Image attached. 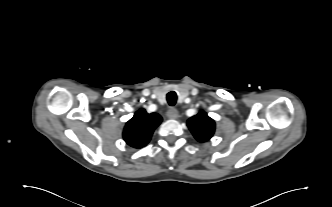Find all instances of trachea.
Instances as JSON below:
<instances>
[{"mask_svg":"<svg viewBox=\"0 0 332 207\" xmlns=\"http://www.w3.org/2000/svg\"><path fill=\"white\" fill-rule=\"evenodd\" d=\"M177 101V95L174 91H171L167 94V102L170 106H174Z\"/></svg>","mask_w":332,"mask_h":207,"instance_id":"1","label":"trachea"}]
</instances>
